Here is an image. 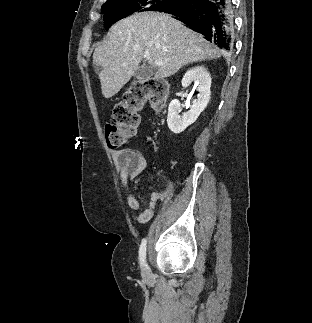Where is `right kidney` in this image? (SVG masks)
I'll list each match as a JSON object with an SVG mask.
<instances>
[{
  "instance_id": "right-kidney-1",
  "label": "right kidney",
  "mask_w": 312,
  "mask_h": 323,
  "mask_svg": "<svg viewBox=\"0 0 312 323\" xmlns=\"http://www.w3.org/2000/svg\"><path fill=\"white\" fill-rule=\"evenodd\" d=\"M194 82L197 88V100L192 102V106L189 112H184L180 116L181 106L178 100H172L169 104L168 114H167V124L171 132L174 134H181L184 132L188 126H191L201 112L205 110L211 96V76L204 66H194L191 70L186 72L185 76L182 78L183 88H188L190 84Z\"/></svg>"
}]
</instances>
